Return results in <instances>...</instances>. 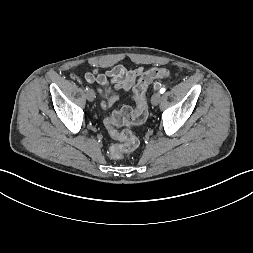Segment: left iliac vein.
Segmentation results:
<instances>
[{"label": "left iliac vein", "instance_id": "4c4485c4", "mask_svg": "<svg viewBox=\"0 0 253 253\" xmlns=\"http://www.w3.org/2000/svg\"><path fill=\"white\" fill-rule=\"evenodd\" d=\"M161 100V94L159 92L153 94V96L151 97V103L153 105H157Z\"/></svg>", "mask_w": 253, "mask_h": 253}]
</instances>
